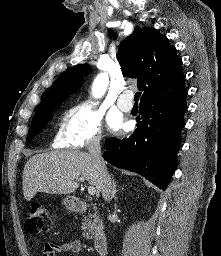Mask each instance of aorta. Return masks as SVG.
Masks as SVG:
<instances>
[{"label": "aorta", "mask_w": 221, "mask_h": 256, "mask_svg": "<svg viewBox=\"0 0 221 256\" xmlns=\"http://www.w3.org/2000/svg\"><path fill=\"white\" fill-rule=\"evenodd\" d=\"M108 82V77L105 73L99 74L93 82V96L96 98H100L101 96H103L107 90Z\"/></svg>", "instance_id": "762f6f07"}]
</instances>
